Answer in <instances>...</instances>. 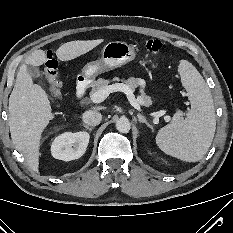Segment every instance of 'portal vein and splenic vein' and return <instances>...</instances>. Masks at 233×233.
<instances>
[{
    "label": "portal vein and splenic vein",
    "instance_id": "18ae733b",
    "mask_svg": "<svg viewBox=\"0 0 233 233\" xmlns=\"http://www.w3.org/2000/svg\"><path fill=\"white\" fill-rule=\"evenodd\" d=\"M117 91H121L124 92L127 95V98L130 102V104L138 111H141V107L139 105V98L136 99L132 90L125 84L122 83H116V84H112L109 86H106L104 88L99 89L97 92H95L91 97L90 100L93 103H101L103 102L110 93L112 92H117ZM166 114L165 110H160L157 112H153L150 115L152 117H154L155 119H158L161 116H164ZM164 120L166 122L170 121V116H164Z\"/></svg>",
    "mask_w": 233,
    "mask_h": 233
}]
</instances>
